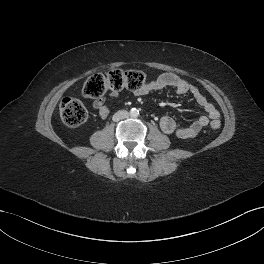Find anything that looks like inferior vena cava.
Here are the masks:
<instances>
[{"mask_svg": "<svg viewBox=\"0 0 264 264\" xmlns=\"http://www.w3.org/2000/svg\"><path fill=\"white\" fill-rule=\"evenodd\" d=\"M128 116H129V113L126 110H120L113 115L112 119L113 121H119L121 119L127 118Z\"/></svg>", "mask_w": 264, "mask_h": 264, "instance_id": "inferior-vena-cava-1", "label": "inferior vena cava"}]
</instances>
